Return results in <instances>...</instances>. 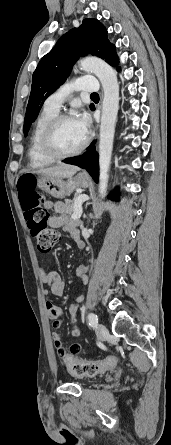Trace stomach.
Returning <instances> with one entry per match:
<instances>
[{
	"mask_svg": "<svg viewBox=\"0 0 171 445\" xmlns=\"http://www.w3.org/2000/svg\"><path fill=\"white\" fill-rule=\"evenodd\" d=\"M37 187L54 198L62 199L69 196L77 188H87L89 181L80 174L67 180L61 177L41 175L36 179Z\"/></svg>",
	"mask_w": 171,
	"mask_h": 445,
	"instance_id": "1",
	"label": "stomach"
}]
</instances>
